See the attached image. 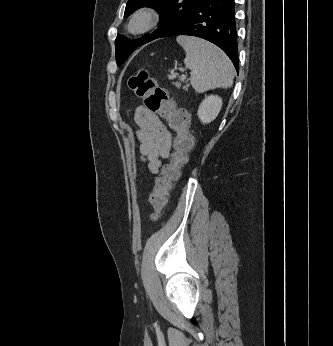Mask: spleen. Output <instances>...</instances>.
Listing matches in <instances>:
<instances>
[{"label":"spleen","mask_w":333,"mask_h":346,"mask_svg":"<svg viewBox=\"0 0 333 346\" xmlns=\"http://www.w3.org/2000/svg\"><path fill=\"white\" fill-rule=\"evenodd\" d=\"M177 42L186 52L184 64L191 70V85L197 93L232 86L234 67L221 49L196 37L179 36Z\"/></svg>","instance_id":"spleen-1"}]
</instances>
